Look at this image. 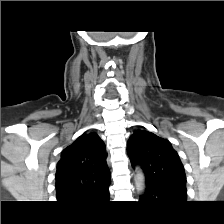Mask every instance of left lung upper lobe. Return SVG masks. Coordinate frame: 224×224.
I'll list each match as a JSON object with an SVG mask.
<instances>
[{"instance_id": "5c2ea615", "label": "left lung upper lobe", "mask_w": 224, "mask_h": 224, "mask_svg": "<svg viewBox=\"0 0 224 224\" xmlns=\"http://www.w3.org/2000/svg\"><path fill=\"white\" fill-rule=\"evenodd\" d=\"M131 162L143 169L146 182L186 188L184 167L170 142L148 131H136L128 140Z\"/></svg>"}]
</instances>
